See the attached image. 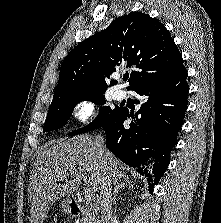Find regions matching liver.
I'll return each instance as SVG.
<instances>
[{"mask_svg":"<svg viewBox=\"0 0 221 223\" xmlns=\"http://www.w3.org/2000/svg\"><path fill=\"white\" fill-rule=\"evenodd\" d=\"M95 138L79 135L54 141L53 145L41 149L28 188L30 223H43L50 206L57 199L75 192L79 184L98 192L104 171L114 183L124 178L121 162L107 149L104 157L100 156ZM73 175L79 181L67 180Z\"/></svg>","mask_w":221,"mask_h":223,"instance_id":"1","label":"liver"}]
</instances>
